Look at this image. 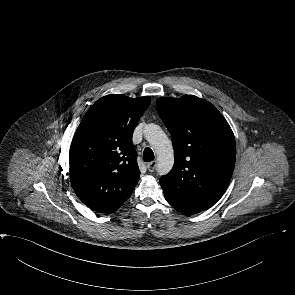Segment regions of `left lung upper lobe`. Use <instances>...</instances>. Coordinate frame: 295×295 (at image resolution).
<instances>
[{"label": "left lung upper lobe", "instance_id": "left-lung-upper-lobe-1", "mask_svg": "<svg viewBox=\"0 0 295 295\" xmlns=\"http://www.w3.org/2000/svg\"><path fill=\"white\" fill-rule=\"evenodd\" d=\"M156 104L175 156L171 172L159 180L165 198L185 215L210 208L234 170L236 144L229 124L213 104L194 95L158 98Z\"/></svg>", "mask_w": 295, "mask_h": 295}]
</instances>
